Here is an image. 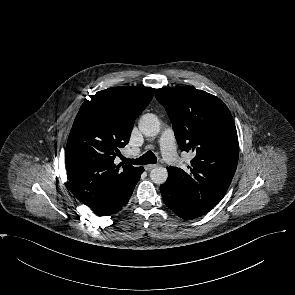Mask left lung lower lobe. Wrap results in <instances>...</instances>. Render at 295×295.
<instances>
[{"mask_svg": "<svg viewBox=\"0 0 295 295\" xmlns=\"http://www.w3.org/2000/svg\"><path fill=\"white\" fill-rule=\"evenodd\" d=\"M164 203L179 217L190 220L204 215L194 208L171 183L160 186Z\"/></svg>", "mask_w": 295, "mask_h": 295, "instance_id": "left-lung-lower-lobe-1", "label": "left lung lower lobe"}]
</instances>
